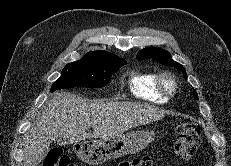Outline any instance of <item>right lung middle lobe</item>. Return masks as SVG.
Returning a JSON list of instances; mask_svg holds the SVG:
<instances>
[{
  "mask_svg": "<svg viewBox=\"0 0 231 166\" xmlns=\"http://www.w3.org/2000/svg\"><path fill=\"white\" fill-rule=\"evenodd\" d=\"M127 62L116 56L103 59L82 58L67 64L59 79L51 87V92L71 87H104L121 66Z\"/></svg>",
  "mask_w": 231,
  "mask_h": 166,
  "instance_id": "obj_1",
  "label": "right lung middle lobe"
}]
</instances>
